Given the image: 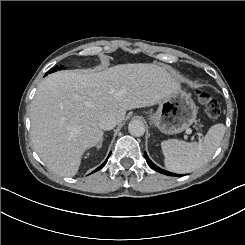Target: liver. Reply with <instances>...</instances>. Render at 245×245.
<instances>
[{
  "label": "liver",
  "instance_id": "1",
  "mask_svg": "<svg viewBox=\"0 0 245 245\" xmlns=\"http://www.w3.org/2000/svg\"><path fill=\"white\" fill-rule=\"evenodd\" d=\"M181 83L155 63L117 64L101 70H59L38 86L31 104V139L45 165L61 176L77 173L83 151L99 143L98 120L155 104Z\"/></svg>",
  "mask_w": 245,
  "mask_h": 245
}]
</instances>
